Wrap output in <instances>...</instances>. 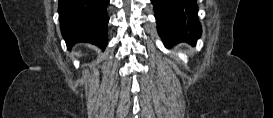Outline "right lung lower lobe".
<instances>
[{"label":"right lung lower lobe","mask_w":273,"mask_h":118,"mask_svg":"<svg viewBox=\"0 0 273 118\" xmlns=\"http://www.w3.org/2000/svg\"><path fill=\"white\" fill-rule=\"evenodd\" d=\"M108 3L109 0H59L61 32L69 49L79 42L105 49L108 41Z\"/></svg>","instance_id":"obj_1"}]
</instances>
